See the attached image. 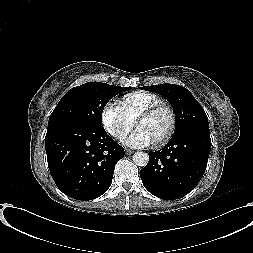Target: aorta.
Wrapping results in <instances>:
<instances>
[{
	"label": "aorta",
	"instance_id": "aorta-1",
	"mask_svg": "<svg viewBox=\"0 0 253 253\" xmlns=\"http://www.w3.org/2000/svg\"><path fill=\"white\" fill-rule=\"evenodd\" d=\"M134 163L137 166L145 167L149 161V156L144 152H136L132 156Z\"/></svg>",
	"mask_w": 253,
	"mask_h": 253
}]
</instances>
